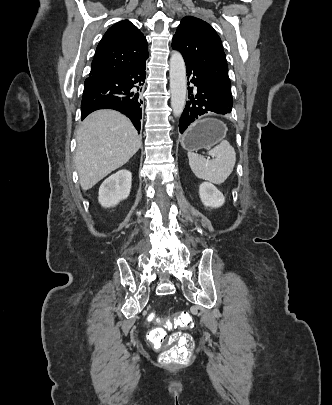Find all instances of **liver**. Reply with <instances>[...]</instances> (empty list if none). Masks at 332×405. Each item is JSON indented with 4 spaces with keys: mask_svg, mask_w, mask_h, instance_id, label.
Instances as JSON below:
<instances>
[{
    "mask_svg": "<svg viewBox=\"0 0 332 405\" xmlns=\"http://www.w3.org/2000/svg\"><path fill=\"white\" fill-rule=\"evenodd\" d=\"M76 140L75 168L83 190L123 166L142 144L130 120L109 109L91 113L82 122Z\"/></svg>",
    "mask_w": 332,
    "mask_h": 405,
    "instance_id": "1",
    "label": "liver"
}]
</instances>
